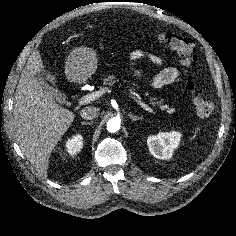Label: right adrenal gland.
<instances>
[{
  "label": "right adrenal gland",
  "instance_id": "1",
  "mask_svg": "<svg viewBox=\"0 0 236 236\" xmlns=\"http://www.w3.org/2000/svg\"><path fill=\"white\" fill-rule=\"evenodd\" d=\"M81 124H82V125H91L92 122H86V121H83V122H81Z\"/></svg>",
  "mask_w": 236,
  "mask_h": 236
}]
</instances>
